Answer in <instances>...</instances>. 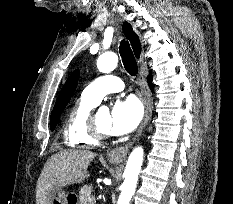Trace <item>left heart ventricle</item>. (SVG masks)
Listing matches in <instances>:
<instances>
[{"label": "left heart ventricle", "mask_w": 233, "mask_h": 204, "mask_svg": "<svg viewBox=\"0 0 233 204\" xmlns=\"http://www.w3.org/2000/svg\"><path fill=\"white\" fill-rule=\"evenodd\" d=\"M98 127L104 132H110V114L103 113L95 118Z\"/></svg>", "instance_id": "left-heart-ventricle-1"}]
</instances>
